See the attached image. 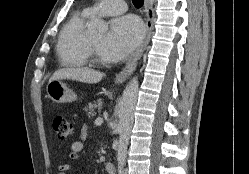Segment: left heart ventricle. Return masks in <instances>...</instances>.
<instances>
[{
  "label": "left heart ventricle",
  "instance_id": "left-heart-ventricle-1",
  "mask_svg": "<svg viewBox=\"0 0 249 174\" xmlns=\"http://www.w3.org/2000/svg\"><path fill=\"white\" fill-rule=\"evenodd\" d=\"M92 41L96 47L97 53L103 60H107L104 52V42L107 38V34H101L97 36H92Z\"/></svg>",
  "mask_w": 249,
  "mask_h": 174
}]
</instances>
